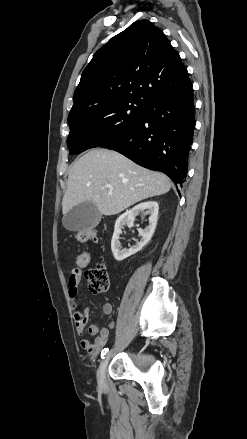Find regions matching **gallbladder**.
Listing matches in <instances>:
<instances>
[{
    "mask_svg": "<svg viewBox=\"0 0 247 439\" xmlns=\"http://www.w3.org/2000/svg\"><path fill=\"white\" fill-rule=\"evenodd\" d=\"M101 217L102 215L96 205L86 201L67 212L62 218V223L65 229L69 231H82L95 228Z\"/></svg>",
    "mask_w": 247,
    "mask_h": 439,
    "instance_id": "obj_1",
    "label": "gallbladder"
}]
</instances>
